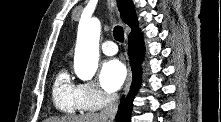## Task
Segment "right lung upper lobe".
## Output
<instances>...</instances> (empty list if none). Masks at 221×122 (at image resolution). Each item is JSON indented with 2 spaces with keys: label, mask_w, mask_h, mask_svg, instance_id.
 Here are the masks:
<instances>
[{
  "label": "right lung upper lobe",
  "mask_w": 221,
  "mask_h": 122,
  "mask_svg": "<svg viewBox=\"0 0 221 122\" xmlns=\"http://www.w3.org/2000/svg\"><path fill=\"white\" fill-rule=\"evenodd\" d=\"M121 18L131 28V33L138 30V22L132 0H117Z\"/></svg>",
  "instance_id": "cb5924a9"
}]
</instances>
